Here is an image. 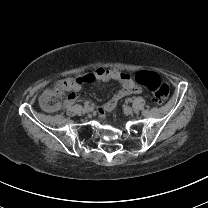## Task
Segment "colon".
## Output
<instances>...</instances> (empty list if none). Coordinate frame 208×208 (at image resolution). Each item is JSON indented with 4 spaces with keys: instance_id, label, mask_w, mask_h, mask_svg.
<instances>
[{
    "instance_id": "1",
    "label": "colon",
    "mask_w": 208,
    "mask_h": 208,
    "mask_svg": "<svg viewBox=\"0 0 208 208\" xmlns=\"http://www.w3.org/2000/svg\"><path fill=\"white\" fill-rule=\"evenodd\" d=\"M135 80L138 84L145 86L158 102L164 101L169 95L168 84L155 72H138L135 74ZM74 87L75 82L71 78L54 83L39 97V110L42 112H56L60 108V100L72 95ZM76 87L83 88L84 85L76 84Z\"/></svg>"
}]
</instances>
